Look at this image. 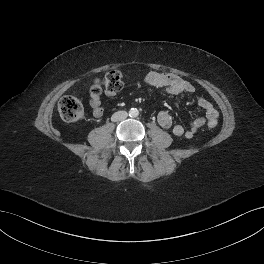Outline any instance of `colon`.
I'll use <instances>...</instances> for the list:
<instances>
[{"label": "colon", "instance_id": "obj_1", "mask_svg": "<svg viewBox=\"0 0 264 264\" xmlns=\"http://www.w3.org/2000/svg\"><path fill=\"white\" fill-rule=\"evenodd\" d=\"M123 87V77L119 71H110L106 74L102 81L97 80L91 87V93L98 95L103 89L109 93H116ZM58 111L61 118L68 123L81 120L84 116V108L82 103L75 97L65 96L58 104ZM209 128L217 126V120H209L207 123Z\"/></svg>", "mask_w": 264, "mask_h": 264}]
</instances>
